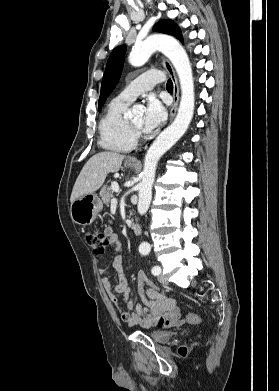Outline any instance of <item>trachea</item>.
<instances>
[{"label": "trachea", "instance_id": "1", "mask_svg": "<svg viewBox=\"0 0 279 391\" xmlns=\"http://www.w3.org/2000/svg\"><path fill=\"white\" fill-rule=\"evenodd\" d=\"M166 88H167V90H173V83H172V80H171V79H169V80L167 81Z\"/></svg>", "mask_w": 279, "mask_h": 391}]
</instances>
